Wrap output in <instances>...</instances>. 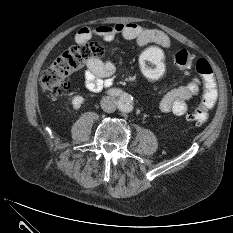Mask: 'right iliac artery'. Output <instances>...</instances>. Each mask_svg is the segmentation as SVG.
I'll list each match as a JSON object with an SVG mask.
<instances>
[{
    "label": "right iliac artery",
    "instance_id": "right-iliac-artery-1",
    "mask_svg": "<svg viewBox=\"0 0 233 233\" xmlns=\"http://www.w3.org/2000/svg\"><path fill=\"white\" fill-rule=\"evenodd\" d=\"M120 91H118V90H112L111 92H110V94L111 95H120Z\"/></svg>",
    "mask_w": 233,
    "mask_h": 233
}]
</instances>
